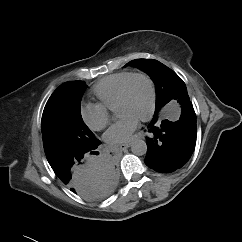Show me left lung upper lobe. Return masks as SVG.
Returning a JSON list of instances; mask_svg holds the SVG:
<instances>
[{"instance_id": "5c2ea615", "label": "left lung upper lobe", "mask_w": 242, "mask_h": 242, "mask_svg": "<svg viewBox=\"0 0 242 242\" xmlns=\"http://www.w3.org/2000/svg\"><path fill=\"white\" fill-rule=\"evenodd\" d=\"M126 65L135 66L145 71L154 81L157 96L155 114L170 100L188 96L183 80L161 62L153 59H135Z\"/></svg>"}]
</instances>
